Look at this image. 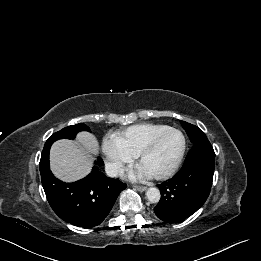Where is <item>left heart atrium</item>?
<instances>
[{
    "mask_svg": "<svg viewBox=\"0 0 261 261\" xmlns=\"http://www.w3.org/2000/svg\"><path fill=\"white\" fill-rule=\"evenodd\" d=\"M134 180H145L152 177V174L143 166L139 165L137 169L130 175Z\"/></svg>",
    "mask_w": 261,
    "mask_h": 261,
    "instance_id": "left-heart-atrium-1",
    "label": "left heart atrium"
}]
</instances>
